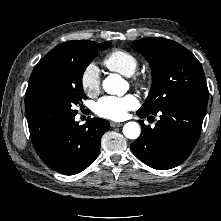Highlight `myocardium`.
Here are the masks:
<instances>
[{
  "label": "myocardium",
  "mask_w": 221,
  "mask_h": 221,
  "mask_svg": "<svg viewBox=\"0 0 221 221\" xmlns=\"http://www.w3.org/2000/svg\"><path fill=\"white\" fill-rule=\"evenodd\" d=\"M133 81L137 87H144L147 85V78L143 75H135Z\"/></svg>",
  "instance_id": "myocardium-1"
}]
</instances>
